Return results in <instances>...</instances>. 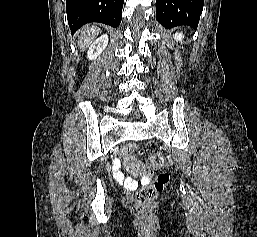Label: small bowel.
Segmentation results:
<instances>
[{
	"label": "small bowel",
	"mask_w": 257,
	"mask_h": 237,
	"mask_svg": "<svg viewBox=\"0 0 257 237\" xmlns=\"http://www.w3.org/2000/svg\"><path fill=\"white\" fill-rule=\"evenodd\" d=\"M113 173L115 178L120 181L123 182L125 180V175L124 173L120 170V161L119 160H115L114 164H113ZM148 180L147 177H143L142 178V182H146Z\"/></svg>",
	"instance_id": "small-bowel-1"
}]
</instances>
